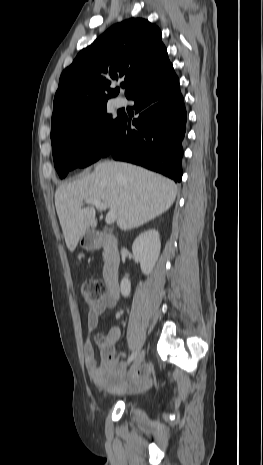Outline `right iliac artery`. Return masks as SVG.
<instances>
[{
	"label": "right iliac artery",
	"instance_id": "right-iliac-artery-1",
	"mask_svg": "<svg viewBox=\"0 0 263 465\" xmlns=\"http://www.w3.org/2000/svg\"><path fill=\"white\" fill-rule=\"evenodd\" d=\"M137 356V351L133 352L130 357L128 358V361L127 363L130 364L134 359L135 357Z\"/></svg>",
	"mask_w": 263,
	"mask_h": 465
}]
</instances>
